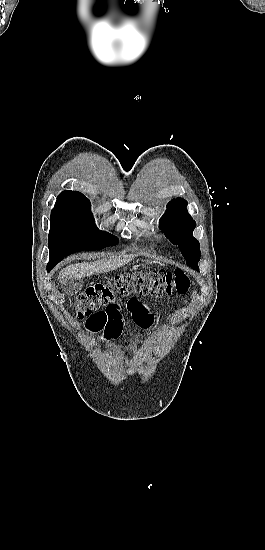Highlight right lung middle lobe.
<instances>
[{
	"label": "right lung middle lobe",
	"mask_w": 265,
	"mask_h": 550,
	"mask_svg": "<svg viewBox=\"0 0 265 550\" xmlns=\"http://www.w3.org/2000/svg\"><path fill=\"white\" fill-rule=\"evenodd\" d=\"M117 242V237L96 227L88 199L56 203L51 212L47 266L54 267L74 252L98 250Z\"/></svg>",
	"instance_id": "dd1d6c3e"
}]
</instances>
